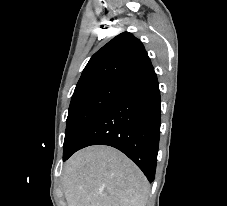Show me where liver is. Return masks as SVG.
Here are the masks:
<instances>
[{
	"label": "liver",
	"mask_w": 227,
	"mask_h": 206,
	"mask_svg": "<svg viewBox=\"0 0 227 206\" xmlns=\"http://www.w3.org/2000/svg\"><path fill=\"white\" fill-rule=\"evenodd\" d=\"M63 189L68 206H146L150 186L123 153L96 145L66 162Z\"/></svg>",
	"instance_id": "1"
}]
</instances>
